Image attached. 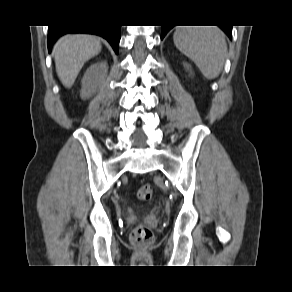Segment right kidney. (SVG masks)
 <instances>
[{
  "instance_id": "ca27d5eb",
  "label": "right kidney",
  "mask_w": 292,
  "mask_h": 292,
  "mask_svg": "<svg viewBox=\"0 0 292 292\" xmlns=\"http://www.w3.org/2000/svg\"><path fill=\"white\" fill-rule=\"evenodd\" d=\"M108 71L106 61L92 64L85 72L82 79V88L80 95L83 99L89 98L94 94L100 84L105 78Z\"/></svg>"
}]
</instances>
